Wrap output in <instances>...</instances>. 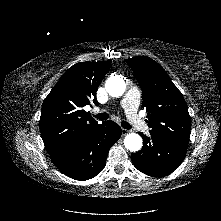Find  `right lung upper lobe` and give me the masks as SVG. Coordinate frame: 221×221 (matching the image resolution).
<instances>
[{
	"mask_svg": "<svg viewBox=\"0 0 221 221\" xmlns=\"http://www.w3.org/2000/svg\"><path fill=\"white\" fill-rule=\"evenodd\" d=\"M111 61L80 62L70 67L45 98L40 129L50 157L68 150L98 125L83 107L93 101Z\"/></svg>",
	"mask_w": 221,
	"mask_h": 221,
	"instance_id": "right-lung-upper-lobe-1",
	"label": "right lung upper lobe"
}]
</instances>
